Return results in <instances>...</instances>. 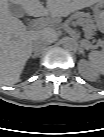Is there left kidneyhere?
<instances>
[{
	"instance_id": "obj_1",
	"label": "left kidney",
	"mask_w": 104,
	"mask_h": 137,
	"mask_svg": "<svg viewBox=\"0 0 104 137\" xmlns=\"http://www.w3.org/2000/svg\"><path fill=\"white\" fill-rule=\"evenodd\" d=\"M79 66H80L82 73L86 77H92L93 78V77L97 76L98 73L103 72V66L94 67L85 60H81L79 63Z\"/></svg>"
}]
</instances>
